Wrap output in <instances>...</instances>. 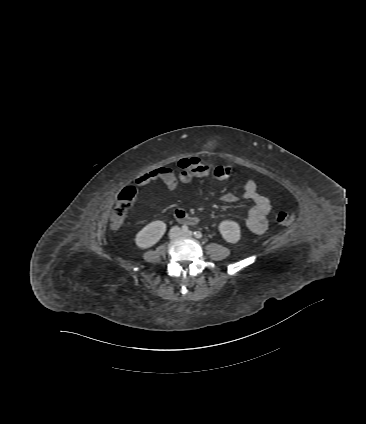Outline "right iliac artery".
Segmentation results:
<instances>
[{"instance_id": "right-iliac-artery-1", "label": "right iliac artery", "mask_w": 366, "mask_h": 424, "mask_svg": "<svg viewBox=\"0 0 366 424\" xmlns=\"http://www.w3.org/2000/svg\"><path fill=\"white\" fill-rule=\"evenodd\" d=\"M181 229H182V231H183V232H187V231H188V226L183 225V226L181 227Z\"/></svg>"}]
</instances>
